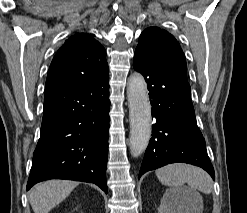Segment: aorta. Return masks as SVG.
Instances as JSON below:
<instances>
[{"instance_id": "obj_1", "label": "aorta", "mask_w": 247, "mask_h": 213, "mask_svg": "<svg viewBox=\"0 0 247 213\" xmlns=\"http://www.w3.org/2000/svg\"><path fill=\"white\" fill-rule=\"evenodd\" d=\"M130 119V151L132 156L142 154L151 138V105L144 77L133 73L127 85Z\"/></svg>"}]
</instances>
